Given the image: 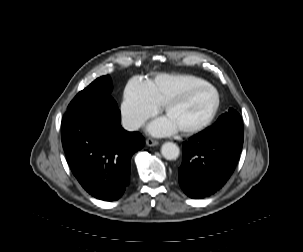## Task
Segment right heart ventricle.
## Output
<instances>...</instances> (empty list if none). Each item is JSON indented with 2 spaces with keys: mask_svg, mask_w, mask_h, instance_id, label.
Returning a JSON list of instances; mask_svg holds the SVG:
<instances>
[{
  "mask_svg": "<svg viewBox=\"0 0 303 252\" xmlns=\"http://www.w3.org/2000/svg\"><path fill=\"white\" fill-rule=\"evenodd\" d=\"M201 82V79L192 76L159 75L145 87L149 97L159 106H163L184 96Z\"/></svg>",
  "mask_w": 303,
  "mask_h": 252,
  "instance_id": "1",
  "label": "right heart ventricle"
}]
</instances>
